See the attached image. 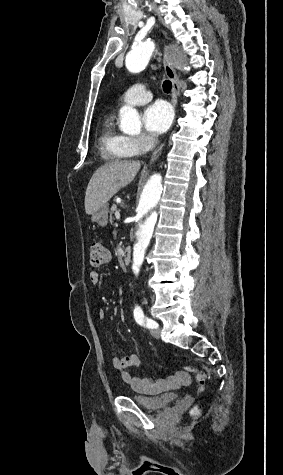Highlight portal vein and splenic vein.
Masks as SVG:
<instances>
[{
	"mask_svg": "<svg viewBox=\"0 0 283 475\" xmlns=\"http://www.w3.org/2000/svg\"><path fill=\"white\" fill-rule=\"evenodd\" d=\"M115 216H116V218H120L119 212H115Z\"/></svg>",
	"mask_w": 283,
	"mask_h": 475,
	"instance_id": "obj_1",
	"label": "portal vein and splenic vein"
}]
</instances>
